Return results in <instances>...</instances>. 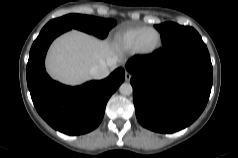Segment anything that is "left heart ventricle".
<instances>
[{"mask_svg":"<svg viewBox=\"0 0 238 158\" xmlns=\"http://www.w3.org/2000/svg\"><path fill=\"white\" fill-rule=\"evenodd\" d=\"M158 41V36L154 31H147L141 40V47L144 50H149L153 48Z\"/></svg>","mask_w":238,"mask_h":158,"instance_id":"left-heart-ventricle-1","label":"left heart ventricle"}]
</instances>
